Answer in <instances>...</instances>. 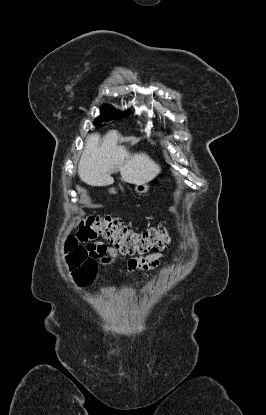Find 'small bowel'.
<instances>
[{
    "label": "small bowel",
    "mask_w": 266,
    "mask_h": 415,
    "mask_svg": "<svg viewBox=\"0 0 266 415\" xmlns=\"http://www.w3.org/2000/svg\"><path fill=\"white\" fill-rule=\"evenodd\" d=\"M96 260L101 264L126 263L130 272L147 271L158 268L165 262V254L161 251L150 253L146 256H137L125 260L117 249L108 246L103 242H94L87 245Z\"/></svg>",
    "instance_id": "c3829d8e"
}]
</instances>
